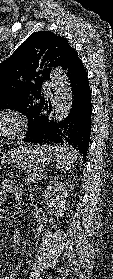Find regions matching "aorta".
<instances>
[{"label": "aorta", "mask_w": 113, "mask_h": 279, "mask_svg": "<svg viewBox=\"0 0 113 279\" xmlns=\"http://www.w3.org/2000/svg\"><path fill=\"white\" fill-rule=\"evenodd\" d=\"M51 79L55 91V120L63 121L70 113L72 107L73 94L71 83L60 67L51 70Z\"/></svg>", "instance_id": "762f6f07"}]
</instances>
